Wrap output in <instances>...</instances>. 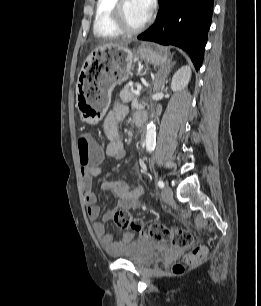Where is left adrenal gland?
Segmentation results:
<instances>
[{"instance_id":"a2214340","label":"left adrenal gland","mask_w":261,"mask_h":306,"mask_svg":"<svg viewBox=\"0 0 261 306\" xmlns=\"http://www.w3.org/2000/svg\"><path fill=\"white\" fill-rule=\"evenodd\" d=\"M175 62H171L169 61L167 64L163 65L157 75H156V79L154 82V89L156 91H159L160 89L164 88V84L166 81V78L168 76V74L170 73L171 69L174 67Z\"/></svg>"}]
</instances>
